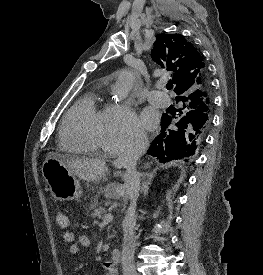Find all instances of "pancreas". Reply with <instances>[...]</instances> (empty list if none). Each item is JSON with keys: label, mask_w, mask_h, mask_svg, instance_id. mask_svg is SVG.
Listing matches in <instances>:
<instances>
[{"label": "pancreas", "mask_w": 263, "mask_h": 275, "mask_svg": "<svg viewBox=\"0 0 263 275\" xmlns=\"http://www.w3.org/2000/svg\"><path fill=\"white\" fill-rule=\"evenodd\" d=\"M90 209L93 210V212L91 213V216L93 218H101L106 213L105 208L99 206L97 197L90 204ZM111 237H113V236H111Z\"/></svg>", "instance_id": "1"}]
</instances>
